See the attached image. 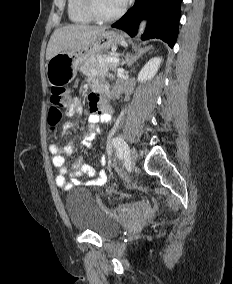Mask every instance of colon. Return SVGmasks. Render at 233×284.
Wrapping results in <instances>:
<instances>
[{"instance_id":"colon-1","label":"colon","mask_w":233,"mask_h":284,"mask_svg":"<svg viewBox=\"0 0 233 284\" xmlns=\"http://www.w3.org/2000/svg\"><path fill=\"white\" fill-rule=\"evenodd\" d=\"M70 99V92L67 88L62 86L52 87L50 93V109L48 113V123L52 129L60 123L63 112L68 107ZM97 203L106 213L123 220L143 217L151 210V205L146 201H138L114 209L106 207L99 199H97Z\"/></svg>"}]
</instances>
